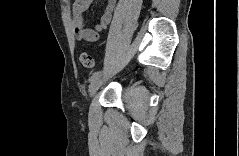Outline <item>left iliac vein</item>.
Returning <instances> with one entry per match:
<instances>
[{"instance_id": "1", "label": "left iliac vein", "mask_w": 239, "mask_h": 156, "mask_svg": "<svg viewBox=\"0 0 239 156\" xmlns=\"http://www.w3.org/2000/svg\"><path fill=\"white\" fill-rule=\"evenodd\" d=\"M104 81V77H102L101 75L96 78L92 83H91V88H90V93H89V97L92 98L95 96L97 90L99 89V87L101 86L102 82Z\"/></svg>"}]
</instances>
